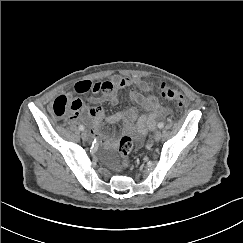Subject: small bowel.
Masks as SVG:
<instances>
[{
  "label": "small bowel",
  "mask_w": 243,
  "mask_h": 243,
  "mask_svg": "<svg viewBox=\"0 0 243 243\" xmlns=\"http://www.w3.org/2000/svg\"><path fill=\"white\" fill-rule=\"evenodd\" d=\"M125 87H132L130 99L134 106L105 116L101 104L104 102L117 104L119 91ZM74 90L77 94L90 93L89 101L92 106L86 107L79 96L72 94H61L55 101H64L69 106L70 121H91L90 132L96 135L100 144L107 148L116 147L117 140L103 133L104 125L122 122L124 132L139 141L149 130L155 128L158 118L164 117L170 112V109L163 106L156 96L144 94L151 93L153 86L139 77L117 75L98 82L83 80L75 84ZM140 110L144 112L140 114Z\"/></svg>",
  "instance_id": "small-bowel-1"
}]
</instances>
